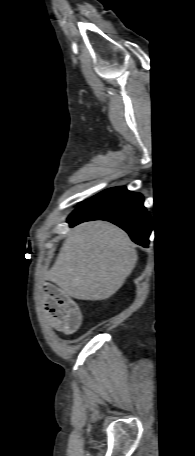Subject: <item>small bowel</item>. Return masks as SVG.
I'll use <instances>...</instances> for the list:
<instances>
[{
    "label": "small bowel",
    "instance_id": "small-bowel-1",
    "mask_svg": "<svg viewBox=\"0 0 195 456\" xmlns=\"http://www.w3.org/2000/svg\"><path fill=\"white\" fill-rule=\"evenodd\" d=\"M44 290L43 304L49 324L63 333H73L78 329L82 320L78 305L51 283H46Z\"/></svg>",
    "mask_w": 195,
    "mask_h": 456
}]
</instances>
